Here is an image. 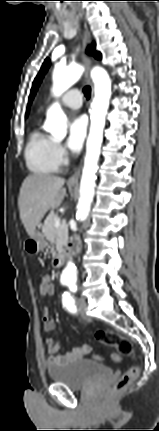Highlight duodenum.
I'll use <instances>...</instances> for the list:
<instances>
[{
	"instance_id": "obj_1",
	"label": "duodenum",
	"mask_w": 159,
	"mask_h": 431,
	"mask_svg": "<svg viewBox=\"0 0 159 431\" xmlns=\"http://www.w3.org/2000/svg\"><path fill=\"white\" fill-rule=\"evenodd\" d=\"M77 248H78V243L72 242L68 248H66L64 251L55 255V257L53 259V266L55 268L61 267L65 263L70 252L73 250H76Z\"/></svg>"
}]
</instances>
